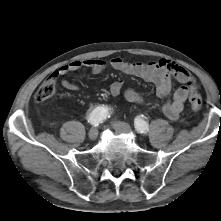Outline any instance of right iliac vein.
<instances>
[{"label":"right iliac vein","instance_id":"right-iliac-vein-1","mask_svg":"<svg viewBox=\"0 0 221 221\" xmlns=\"http://www.w3.org/2000/svg\"><path fill=\"white\" fill-rule=\"evenodd\" d=\"M98 136V129L96 127H93L88 132V137L90 140H95Z\"/></svg>","mask_w":221,"mask_h":221}]
</instances>
